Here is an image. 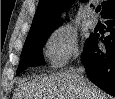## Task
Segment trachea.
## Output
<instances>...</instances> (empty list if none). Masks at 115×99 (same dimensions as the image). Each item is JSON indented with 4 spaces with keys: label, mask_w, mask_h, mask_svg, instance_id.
<instances>
[{
    "label": "trachea",
    "mask_w": 115,
    "mask_h": 99,
    "mask_svg": "<svg viewBox=\"0 0 115 99\" xmlns=\"http://www.w3.org/2000/svg\"><path fill=\"white\" fill-rule=\"evenodd\" d=\"M101 10V7L96 8V12H99Z\"/></svg>",
    "instance_id": "obj_1"
}]
</instances>
